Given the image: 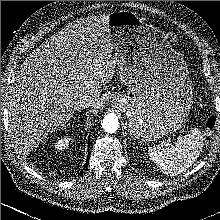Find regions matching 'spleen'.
<instances>
[{"label": "spleen", "instance_id": "1", "mask_svg": "<svg viewBox=\"0 0 220 220\" xmlns=\"http://www.w3.org/2000/svg\"><path fill=\"white\" fill-rule=\"evenodd\" d=\"M203 136L196 127L171 147L157 145L148 147L150 159L159 166L164 174L174 176L187 170L200 155Z\"/></svg>", "mask_w": 220, "mask_h": 220}]
</instances>
